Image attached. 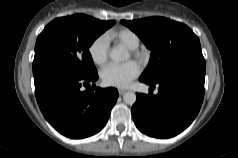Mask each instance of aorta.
I'll return each mask as SVG.
<instances>
[{"label": "aorta", "mask_w": 238, "mask_h": 158, "mask_svg": "<svg viewBox=\"0 0 238 158\" xmlns=\"http://www.w3.org/2000/svg\"><path fill=\"white\" fill-rule=\"evenodd\" d=\"M128 53L120 48H114L110 52V58L116 62L127 60ZM123 101L128 105H133L136 102V94L134 92H126L123 95Z\"/></svg>", "instance_id": "aorta-1"}]
</instances>
